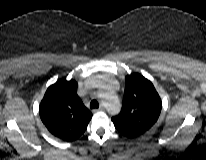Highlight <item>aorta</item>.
I'll return each mask as SVG.
<instances>
[{
	"instance_id": "762f6f07",
	"label": "aorta",
	"mask_w": 206,
	"mask_h": 160,
	"mask_svg": "<svg viewBox=\"0 0 206 160\" xmlns=\"http://www.w3.org/2000/svg\"><path fill=\"white\" fill-rule=\"evenodd\" d=\"M106 103L110 106V110H112V106L114 107V112L117 113L120 110L121 104L118 100H113L112 102L106 101Z\"/></svg>"
}]
</instances>
